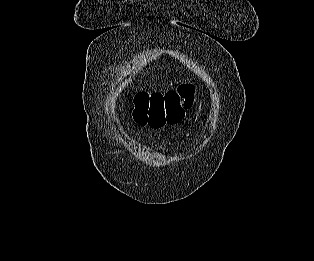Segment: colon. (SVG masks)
<instances>
[{
  "label": "colon",
  "instance_id": "colon-1",
  "mask_svg": "<svg viewBox=\"0 0 314 261\" xmlns=\"http://www.w3.org/2000/svg\"><path fill=\"white\" fill-rule=\"evenodd\" d=\"M133 117L139 125L161 128L180 122L194 104V87L182 84L166 93L139 92L133 97Z\"/></svg>",
  "mask_w": 314,
  "mask_h": 261
}]
</instances>
